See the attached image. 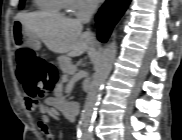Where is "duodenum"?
<instances>
[{
    "label": "duodenum",
    "instance_id": "duodenum-1",
    "mask_svg": "<svg viewBox=\"0 0 182 140\" xmlns=\"http://www.w3.org/2000/svg\"><path fill=\"white\" fill-rule=\"evenodd\" d=\"M78 108V104L73 102H64L60 106L61 111H63L71 120H74V118L76 117Z\"/></svg>",
    "mask_w": 182,
    "mask_h": 140
}]
</instances>
